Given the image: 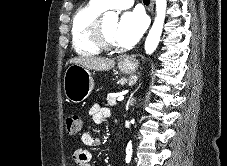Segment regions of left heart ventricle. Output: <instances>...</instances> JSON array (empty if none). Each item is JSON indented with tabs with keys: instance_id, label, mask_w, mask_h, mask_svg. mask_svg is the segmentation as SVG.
Listing matches in <instances>:
<instances>
[{
	"instance_id": "obj_1",
	"label": "left heart ventricle",
	"mask_w": 227,
	"mask_h": 166,
	"mask_svg": "<svg viewBox=\"0 0 227 166\" xmlns=\"http://www.w3.org/2000/svg\"><path fill=\"white\" fill-rule=\"evenodd\" d=\"M103 26H104L105 37L110 42L116 43L115 30H116V26H117V20L111 19V18H108V17H104Z\"/></svg>"
}]
</instances>
